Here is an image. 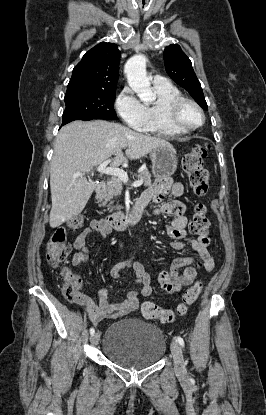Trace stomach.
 Masks as SVG:
<instances>
[{
	"instance_id": "stomach-1",
	"label": "stomach",
	"mask_w": 266,
	"mask_h": 415,
	"mask_svg": "<svg viewBox=\"0 0 266 415\" xmlns=\"http://www.w3.org/2000/svg\"><path fill=\"white\" fill-rule=\"evenodd\" d=\"M152 173L159 180L171 176L177 168L176 151L167 146H159L150 151Z\"/></svg>"
}]
</instances>
